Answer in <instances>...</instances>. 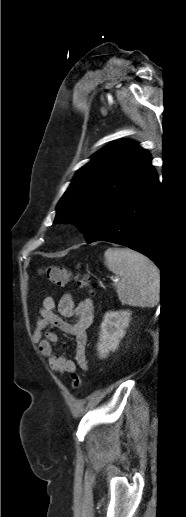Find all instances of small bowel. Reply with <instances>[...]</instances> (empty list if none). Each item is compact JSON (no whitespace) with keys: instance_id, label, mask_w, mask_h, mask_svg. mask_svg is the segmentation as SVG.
I'll list each match as a JSON object with an SVG mask.
<instances>
[{"instance_id":"1","label":"small bowel","mask_w":186,"mask_h":517,"mask_svg":"<svg viewBox=\"0 0 186 517\" xmlns=\"http://www.w3.org/2000/svg\"><path fill=\"white\" fill-rule=\"evenodd\" d=\"M94 305L86 298L75 304L73 296L64 294L56 305L52 297L43 300L39 317L35 322L33 338L38 342L40 353L47 358L50 369L56 373H72L77 366L86 370V330L93 321ZM65 319H74L72 323ZM54 329L71 335L75 339V360L68 359L63 354H54L53 345L58 342Z\"/></svg>"}]
</instances>
